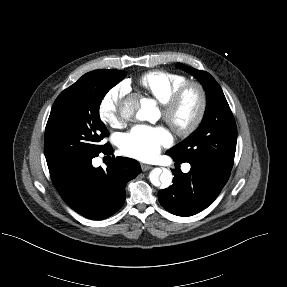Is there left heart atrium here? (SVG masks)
<instances>
[{
    "instance_id": "39dd6f15",
    "label": "left heart atrium",
    "mask_w": 287,
    "mask_h": 287,
    "mask_svg": "<svg viewBox=\"0 0 287 287\" xmlns=\"http://www.w3.org/2000/svg\"><path fill=\"white\" fill-rule=\"evenodd\" d=\"M170 143L171 136L165 128L137 125L121 136L120 149L126 156L149 161L157 156L163 146Z\"/></svg>"
}]
</instances>
